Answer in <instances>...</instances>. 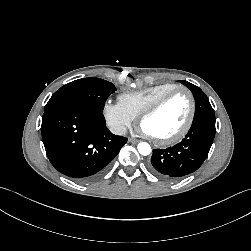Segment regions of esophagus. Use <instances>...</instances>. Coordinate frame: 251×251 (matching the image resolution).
<instances>
[{
  "label": "esophagus",
  "instance_id": "1",
  "mask_svg": "<svg viewBox=\"0 0 251 251\" xmlns=\"http://www.w3.org/2000/svg\"><path fill=\"white\" fill-rule=\"evenodd\" d=\"M128 142L133 143V144H136V143L139 142V140H138V139H135V138H128Z\"/></svg>",
  "mask_w": 251,
  "mask_h": 251
}]
</instances>
